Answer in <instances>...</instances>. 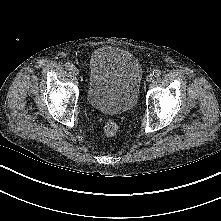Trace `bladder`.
Listing matches in <instances>:
<instances>
[{"mask_svg":"<svg viewBox=\"0 0 221 221\" xmlns=\"http://www.w3.org/2000/svg\"><path fill=\"white\" fill-rule=\"evenodd\" d=\"M142 77V65L131 52L100 47L89 60L87 102L104 114L126 113L137 103Z\"/></svg>","mask_w":221,"mask_h":221,"instance_id":"bladder-1","label":"bladder"}]
</instances>
